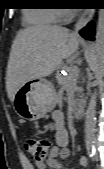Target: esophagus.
<instances>
[{
  "mask_svg": "<svg viewBox=\"0 0 104 169\" xmlns=\"http://www.w3.org/2000/svg\"><path fill=\"white\" fill-rule=\"evenodd\" d=\"M94 14V10L92 9H86L82 15L80 16V18L78 19V21L75 24V32L78 33L80 29H82L83 27H85L88 22L91 20L92 16Z\"/></svg>",
  "mask_w": 104,
  "mask_h": 169,
  "instance_id": "esophagus-1",
  "label": "esophagus"
}]
</instances>
